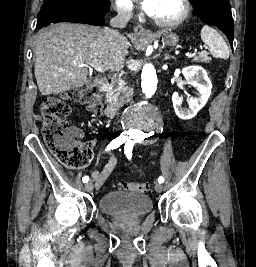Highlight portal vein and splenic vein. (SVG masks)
<instances>
[{
	"label": "portal vein and splenic vein",
	"mask_w": 256,
	"mask_h": 267,
	"mask_svg": "<svg viewBox=\"0 0 256 267\" xmlns=\"http://www.w3.org/2000/svg\"><path fill=\"white\" fill-rule=\"evenodd\" d=\"M192 55H196V52H192ZM192 55L184 56V59L192 60ZM80 66H87V64H80ZM89 66H91V68H94V70H97V72H105V70H107L105 66H102L101 62H96V60L95 62H92V64H89Z\"/></svg>",
	"instance_id": "18ae733b"
}]
</instances>
